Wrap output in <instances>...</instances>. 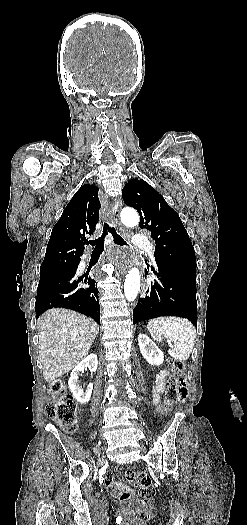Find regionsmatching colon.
I'll list each match as a JSON object with an SVG mask.
<instances>
[{"mask_svg":"<svg viewBox=\"0 0 247 525\" xmlns=\"http://www.w3.org/2000/svg\"><path fill=\"white\" fill-rule=\"evenodd\" d=\"M170 364L173 376L166 388L165 409H171L176 402L186 400L188 395V381L184 362L180 359H172ZM49 390L53 398L46 404L45 416L67 428H74L77 423V405L70 395L65 394V385L61 381H54L50 384ZM125 477L127 481L139 487V498L142 507L136 513V518L141 522L151 520L154 514L151 504L156 495V485L149 475L144 472L129 470L126 472Z\"/></svg>","mask_w":247,"mask_h":525,"instance_id":"1","label":"colon"}]
</instances>
